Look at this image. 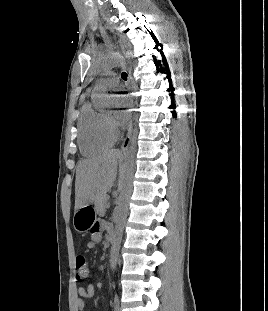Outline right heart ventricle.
<instances>
[{"instance_id": "obj_1", "label": "right heart ventricle", "mask_w": 268, "mask_h": 311, "mask_svg": "<svg viewBox=\"0 0 268 311\" xmlns=\"http://www.w3.org/2000/svg\"><path fill=\"white\" fill-rule=\"evenodd\" d=\"M116 133L109 126L105 115L90 104H85L78 118V144L80 151L91 156L110 148Z\"/></svg>"}]
</instances>
